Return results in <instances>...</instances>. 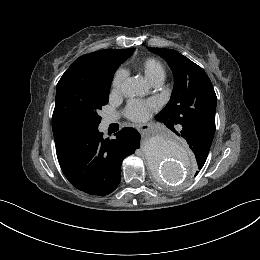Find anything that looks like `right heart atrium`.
I'll list each match as a JSON object with an SVG mask.
<instances>
[{
  "instance_id": "obj_1",
  "label": "right heart atrium",
  "mask_w": 260,
  "mask_h": 260,
  "mask_svg": "<svg viewBox=\"0 0 260 260\" xmlns=\"http://www.w3.org/2000/svg\"><path fill=\"white\" fill-rule=\"evenodd\" d=\"M127 71L124 69H119L116 71L114 78L112 80V92L116 93L120 91L123 83L125 82L127 78Z\"/></svg>"
}]
</instances>
